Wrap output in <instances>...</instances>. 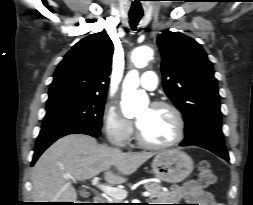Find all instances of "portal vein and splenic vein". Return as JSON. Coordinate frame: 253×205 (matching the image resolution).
<instances>
[{"label":"portal vein and splenic vein","instance_id":"obj_1","mask_svg":"<svg viewBox=\"0 0 253 205\" xmlns=\"http://www.w3.org/2000/svg\"><path fill=\"white\" fill-rule=\"evenodd\" d=\"M92 185L96 186L97 188L102 190L108 196H110L112 198H115V199H118V200H123L128 195L127 191H125V190L115 188V187H111V186H107V185H104V184H100L98 177L93 178ZM142 195L144 197H148V196H150V193L148 191H145V192H143Z\"/></svg>","mask_w":253,"mask_h":205}]
</instances>
